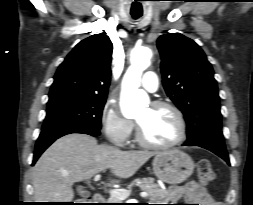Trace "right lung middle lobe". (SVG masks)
<instances>
[{
	"instance_id": "obj_1",
	"label": "right lung middle lobe",
	"mask_w": 253,
	"mask_h": 205,
	"mask_svg": "<svg viewBox=\"0 0 253 205\" xmlns=\"http://www.w3.org/2000/svg\"><path fill=\"white\" fill-rule=\"evenodd\" d=\"M106 97L67 96L47 103V115L42 131L59 128L101 129V116Z\"/></svg>"
}]
</instances>
